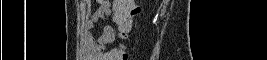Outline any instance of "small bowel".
I'll return each instance as SVG.
<instances>
[{"label": "small bowel", "instance_id": "1", "mask_svg": "<svg viewBox=\"0 0 267 60\" xmlns=\"http://www.w3.org/2000/svg\"><path fill=\"white\" fill-rule=\"evenodd\" d=\"M111 10L112 4L110 2L101 3V5L95 10L93 17L88 19L85 25V30L82 38L85 42L86 48L96 56L102 55L105 46L114 40L115 34L112 26L106 25L103 29L102 35L99 37L97 42H95L91 30L95 22L98 19L105 17L108 13L111 12Z\"/></svg>", "mask_w": 267, "mask_h": 60}]
</instances>
